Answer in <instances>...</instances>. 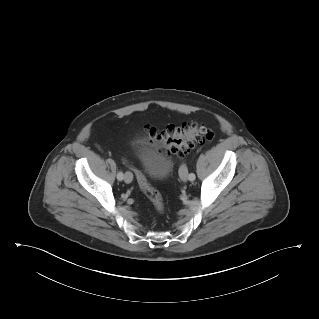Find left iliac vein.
I'll return each instance as SVG.
<instances>
[{"instance_id":"left-iliac-vein-1","label":"left iliac vein","mask_w":319,"mask_h":319,"mask_svg":"<svg viewBox=\"0 0 319 319\" xmlns=\"http://www.w3.org/2000/svg\"><path fill=\"white\" fill-rule=\"evenodd\" d=\"M182 166L183 167H181V169L179 171V175H180L181 180L187 181V180H189L187 167H186V165H182Z\"/></svg>"}]
</instances>
